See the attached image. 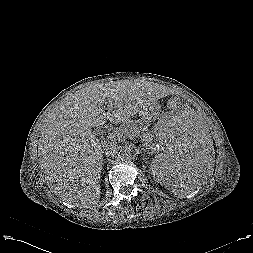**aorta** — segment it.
Returning a JSON list of instances; mask_svg holds the SVG:
<instances>
[{
	"label": "aorta",
	"instance_id": "762f6f07",
	"mask_svg": "<svg viewBox=\"0 0 253 253\" xmlns=\"http://www.w3.org/2000/svg\"><path fill=\"white\" fill-rule=\"evenodd\" d=\"M118 158L122 161H126L132 158V152L127 147H122L118 150Z\"/></svg>",
	"mask_w": 253,
	"mask_h": 253
}]
</instances>
